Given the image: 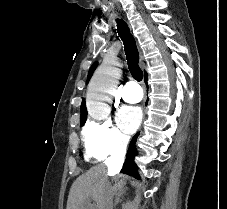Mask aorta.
<instances>
[{
	"instance_id": "762f6f07",
	"label": "aorta",
	"mask_w": 227,
	"mask_h": 209,
	"mask_svg": "<svg viewBox=\"0 0 227 209\" xmlns=\"http://www.w3.org/2000/svg\"><path fill=\"white\" fill-rule=\"evenodd\" d=\"M119 67L117 58H106L93 75L87 94V110L91 117L102 119L109 114L108 102L111 101L121 75Z\"/></svg>"
}]
</instances>
